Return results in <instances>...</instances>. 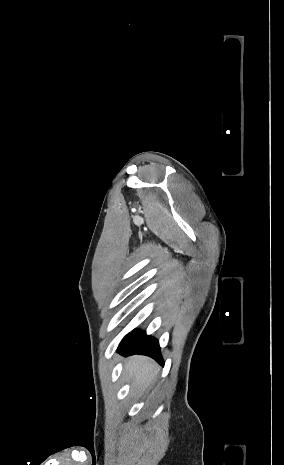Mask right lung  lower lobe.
Returning <instances> with one entry per match:
<instances>
[{
	"label": "right lung lower lobe",
	"mask_w": 284,
	"mask_h": 465,
	"mask_svg": "<svg viewBox=\"0 0 284 465\" xmlns=\"http://www.w3.org/2000/svg\"><path fill=\"white\" fill-rule=\"evenodd\" d=\"M118 351L122 355H147L163 365L158 341L147 336L144 331L134 330L126 335L121 341Z\"/></svg>",
	"instance_id": "right-lung-lower-lobe-1"
}]
</instances>
